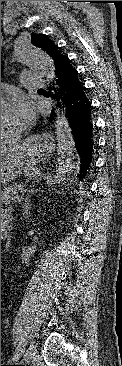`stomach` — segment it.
I'll list each match as a JSON object with an SVG mask.
<instances>
[{"label": "stomach", "mask_w": 122, "mask_h": 366, "mask_svg": "<svg viewBox=\"0 0 122 366\" xmlns=\"http://www.w3.org/2000/svg\"><path fill=\"white\" fill-rule=\"evenodd\" d=\"M36 140H30L28 145L34 147ZM23 160V152H12L1 156V184H6L18 175V169Z\"/></svg>", "instance_id": "obj_1"}]
</instances>
